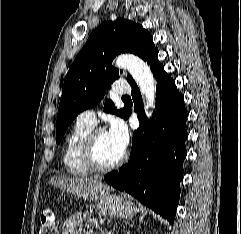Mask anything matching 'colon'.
I'll return each instance as SVG.
<instances>
[{"label":"colon","mask_w":241,"mask_h":234,"mask_svg":"<svg viewBox=\"0 0 241 234\" xmlns=\"http://www.w3.org/2000/svg\"><path fill=\"white\" fill-rule=\"evenodd\" d=\"M38 234H57L55 216L49 209L44 210L41 214Z\"/></svg>","instance_id":"colon-1"}]
</instances>
